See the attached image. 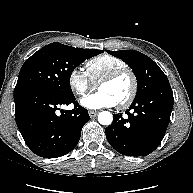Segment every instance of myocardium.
<instances>
[{"label": "myocardium", "instance_id": "myocardium-1", "mask_svg": "<svg viewBox=\"0 0 193 193\" xmlns=\"http://www.w3.org/2000/svg\"><path fill=\"white\" fill-rule=\"evenodd\" d=\"M123 75H129L130 76V78L132 80V89H131V92L128 95V97L124 101L117 104L118 107L121 109H125V108L129 107L133 103V101L135 100V98L137 96L139 84H138V78H137L135 72L132 69H130L129 67L120 68V69H117V70L110 72L109 74L104 76L98 82V88H99L102 84L113 82Z\"/></svg>", "mask_w": 193, "mask_h": 193}]
</instances>
